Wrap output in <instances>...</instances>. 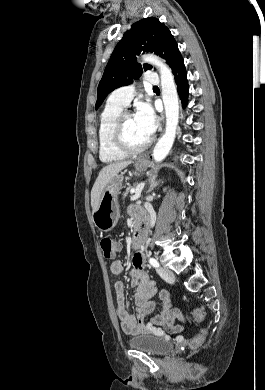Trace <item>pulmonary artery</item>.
Wrapping results in <instances>:
<instances>
[{"instance_id": "obj_1", "label": "pulmonary artery", "mask_w": 265, "mask_h": 390, "mask_svg": "<svg viewBox=\"0 0 265 390\" xmlns=\"http://www.w3.org/2000/svg\"><path fill=\"white\" fill-rule=\"evenodd\" d=\"M146 82L149 85H158L159 78L153 70H148L146 75ZM135 92V87L133 85H128L117 89L108 99V103L121 106L123 108L127 107Z\"/></svg>"}]
</instances>
